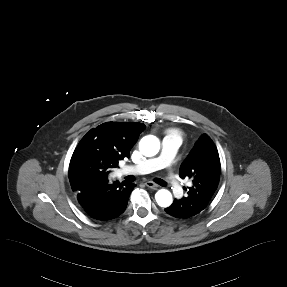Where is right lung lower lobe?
Returning <instances> with one entry per match:
<instances>
[{
  "label": "right lung lower lobe",
  "instance_id": "obj_1",
  "mask_svg": "<svg viewBox=\"0 0 287 287\" xmlns=\"http://www.w3.org/2000/svg\"><path fill=\"white\" fill-rule=\"evenodd\" d=\"M133 184L118 181L108 183L107 178L84 181L75 196L85 214L96 220H110L122 214L128 204Z\"/></svg>",
  "mask_w": 287,
  "mask_h": 287
}]
</instances>
